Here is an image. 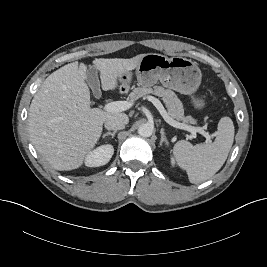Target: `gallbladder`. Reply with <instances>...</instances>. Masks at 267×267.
<instances>
[{"label":"gallbladder","mask_w":267,"mask_h":267,"mask_svg":"<svg viewBox=\"0 0 267 267\" xmlns=\"http://www.w3.org/2000/svg\"><path fill=\"white\" fill-rule=\"evenodd\" d=\"M86 81L91 86L94 95L97 98H99L101 96V91H100V87H99L100 82H99V78L97 76V69L95 67H90L87 70Z\"/></svg>","instance_id":"gallbladder-1"}]
</instances>
